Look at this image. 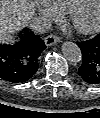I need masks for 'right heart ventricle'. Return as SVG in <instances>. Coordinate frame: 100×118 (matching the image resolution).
Masks as SVG:
<instances>
[{
	"label": "right heart ventricle",
	"mask_w": 100,
	"mask_h": 118,
	"mask_svg": "<svg viewBox=\"0 0 100 118\" xmlns=\"http://www.w3.org/2000/svg\"><path fill=\"white\" fill-rule=\"evenodd\" d=\"M61 13H70L83 0H51Z\"/></svg>",
	"instance_id": "e07e8e85"
}]
</instances>
